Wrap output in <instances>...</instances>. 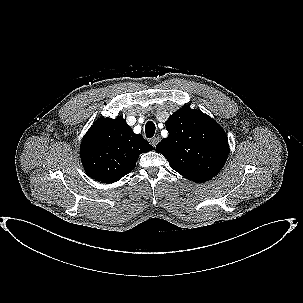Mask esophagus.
I'll use <instances>...</instances> for the list:
<instances>
[{
    "label": "esophagus",
    "instance_id": "obj_1",
    "mask_svg": "<svg viewBox=\"0 0 303 303\" xmlns=\"http://www.w3.org/2000/svg\"><path fill=\"white\" fill-rule=\"evenodd\" d=\"M159 142V137H153L150 140V143L152 144L153 147H156L157 143Z\"/></svg>",
    "mask_w": 303,
    "mask_h": 303
}]
</instances>
